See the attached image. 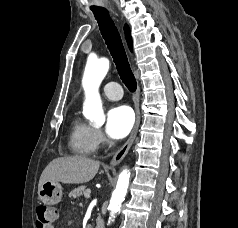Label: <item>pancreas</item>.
Wrapping results in <instances>:
<instances>
[{
    "label": "pancreas",
    "instance_id": "obj_1",
    "mask_svg": "<svg viewBox=\"0 0 238 228\" xmlns=\"http://www.w3.org/2000/svg\"><path fill=\"white\" fill-rule=\"evenodd\" d=\"M88 191V189H86V186L82 185V186H79L77 187L76 189L72 190L70 193H69V196L70 197H74V198H77L81 195H85V193Z\"/></svg>",
    "mask_w": 238,
    "mask_h": 228
}]
</instances>
